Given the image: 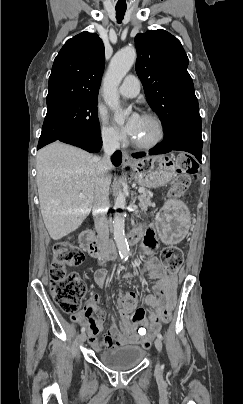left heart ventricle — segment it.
<instances>
[{"mask_svg": "<svg viewBox=\"0 0 243 404\" xmlns=\"http://www.w3.org/2000/svg\"><path fill=\"white\" fill-rule=\"evenodd\" d=\"M157 135L158 128L156 123L152 119L142 117L140 128L133 140L147 143L153 141Z\"/></svg>", "mask_w": 243, "mask_h": 404, "instance_id": "left-heart-ventricle-1", "label": "left heart ventricle"}]
</instances>
